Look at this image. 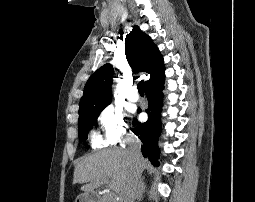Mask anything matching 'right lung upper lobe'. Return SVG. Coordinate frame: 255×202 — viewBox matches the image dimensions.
<instances>
[{
  "instance_id": "right-lung-upper-lobe-1",
  "label": "right lung upper lobe",
  "mask_w": 255,
  "mask_h": 202,
  "mask_svg": "<svg viewBox=\"0 0 255 202\" xmlns=\"http://www.w3.org/2000/svg\"><path fill=\"white\" fill-rule=\"evenodd\" d=\"M126 38L125 54L129 65L134 71L150 74V79L145 82V88L164 81V61L152 39L138 26H134ZM112 77V65L105 64L89 78L80 101L79 113L105 108L111 103Z\"/></svg>"
}]
</instances>
